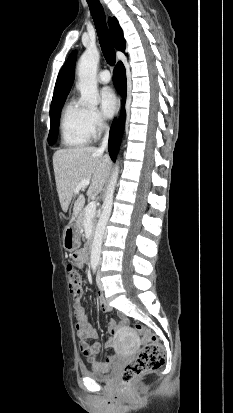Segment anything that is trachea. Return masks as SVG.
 <instances>
[{"label":"trachea","mask_w":233,"mask_h":413,"mask_svg":"<svg viewBox=\"0 0 233 413\" xmlns=\"http://www.w3.org/2000/svg\"><path fill=\"white\" fill-rule=\"evenodd\" d=\"M87 3L90 7L91 15L94 19L100 46L105 60L109 65L113 66L116 62V53L106 25L104 9L99 0H87Z\"/></svg>","instance_id":"obj_1"}]
</instances>
